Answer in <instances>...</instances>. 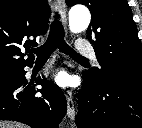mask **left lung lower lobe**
I'll use <instances>...</instances> for the list:
<instances>
[{
	"mask_svg": "<svg viewBox=\"0 0 142 128\" xmlns=\"http://www.w3.org/2000/svg\"><path fill=\"white\" fill-rule=\"evenodd\" d=\"M78 128H142V81L83 72Z\"/></svg>",
	"mask_w": 142,
	"mask_h": 128,
	"instance_id": "left-lung-lower-lobe-1",
	"label": "left lung lower lobe"
}]
</instances>
